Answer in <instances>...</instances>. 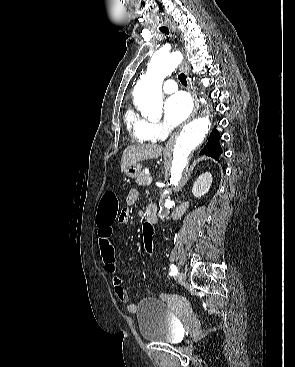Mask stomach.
<instances>
[{"label":"stomach","instance_id":"stomach-1","mask_svg":"<svg viewBox=\"0 0 295 367\" xmlns=\"http://www.w3.org/2000/svg\"><path fill=\"white\" fill-rule=\"evenodd\" d=\"M141 169H142V165L139 163H135L131 166H129L126 170H125V174L129 177V178H136L139 176V174L141 173Z\"/></svg>","mask_w":295,"mask_h":367}]
</instances>
